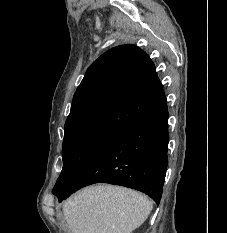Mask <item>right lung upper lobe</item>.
<instances>
[{"label":"right lung upper lobe","mask_w":227,"mask_h":233,"mask_svg":"<svg viewBox=\"0 0 227 233\" xmlns=\"http://www.w3.org/2000/svg\"><path fill=\"white\" fill-rule=\"evenodd\" d=\"M155 66L131 44L114 47L88 68L65 123V134L86 129L119 133L166 105Z\"/></svg>","instance_id":"1"}]
</instances>
